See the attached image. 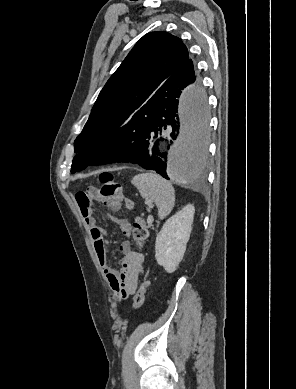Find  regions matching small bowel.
<instances>
[{
	"instance_id": "c3829d8e",
	"label": "small bowel",
	"mask_w": 296,
	"mask_h": 389,
	"mask_svg": "<svg viewBox=\"0 0 296 389\" xmlns=\"http://www.w3.org/2000/svg\"><path fill=\"white\" fill-rule=\"evenodd\" d=\"M97 200H99V196L94 189L80 192L76 195L81 216L89 228L95 252L109 287L118 300H125L135 293L139 279L144 275V256L131 248L129 240H124L119 246L121 269L117 271L110 266L105 247L106 232L97 225L93 216L92 204ZM119 207L120 205L110 208L116 211ZM109 218L119 225L121 233L125 238L130 237L131 224L127 220L114 216H109Z\"/></svg>"
}]
</instances>
